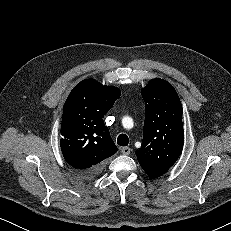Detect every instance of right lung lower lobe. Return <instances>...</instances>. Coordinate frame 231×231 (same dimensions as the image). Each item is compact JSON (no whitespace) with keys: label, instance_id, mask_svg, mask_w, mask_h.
Segmentation results:
<instances>
[{"label":"right lung lower lobe","instance_id":"1","mask_svg":"<svg viewBox=\"0 0 231 231\" xmlns=\"http://www.w3.org/2000/svg\"><path fill=\"white\" fill-rule=\"evenodd\" d=\"M101 167H95L92 169H89L87 171H83V172H79L78 173L82 176H93L95 174H97L100 171Z\"/></svg>","mask_w":231,"mask_h":231}]
</instances>
